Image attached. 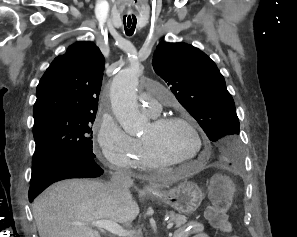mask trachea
I'll return each instance as SVG.
<instances>
[{
    "label": "trachea",
    "mask_w": 297,
    "mask_h": 237,
    "mask_svg": "<svg viewBox=\"0 0 297 237\" xmlns=\"http://www.w3.org/2000/svg\"><path fill=\"white\" fill-rule=\"evenodd\" d=\"M124 23V29L126 32V35L131 36L134 33L135 27H136V19H127L123 18Z\"/></svg>",
    "instance_id": "1"
}]
</instances>
